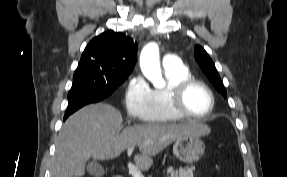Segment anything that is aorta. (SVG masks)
I'll list each match as a JSON object with an SVG mask.
<instances>
[{
	"instance_id": "762f6f07",
	"label": "aorta",
	"mask_w": 287,
	"mask_h": 177,
	"mask_svg": "<svg viewBox=\"0 0 287 177\" xmlns=\"http://www.w3.org/2000/svg\"><path fill=\"white\" fill-rule=\"evenodd\" d=\"M140 67L144 76L152 82L154 87L165 86L160 69L159 48L156 43H149L143 48L140 55Z\"/></svg>"
}]
</instances>
